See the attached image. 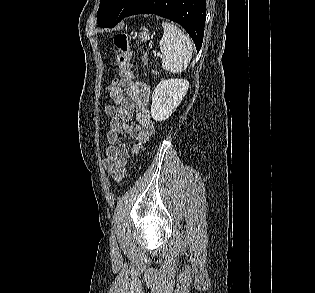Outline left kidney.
<instances>
[{
	"label": "left kidney",
	"mask_w": 315,
	"mask_h": 293,
	"mask_svg": "<svg viewBox=\"0 0 315 293\" xmlns=\"http://www.w3.org/2000/svg\"><path fill=\"white\" fill-rule=\"evenodd\" d=\"M189 88L185 79L162 80L152 94L151 116L156 121L168 119Z\"/></svg>",
	"instance_id": "1"
}]
</instances>
